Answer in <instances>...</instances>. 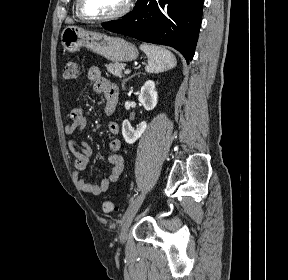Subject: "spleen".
I'll use <instances>...</instances> for the list:
<instances>
[{
    "label": "spleen",
    "instance_id": "spleen-1",
    "mask_svg": "<svg viewBox=\"0 0 288 280\" xmlns=\"http://www.w3.org/2000/svg\"><path fill=\"white\" fill-rule=\"evenodd\" d=\"M140 49L148 57L145 67L148 73H161L174 68L177 64L175 56L164 47L144 43Z\"/></svg>",
    "mask_w": 288,
    "mask_h": 280
}]
</instances>
